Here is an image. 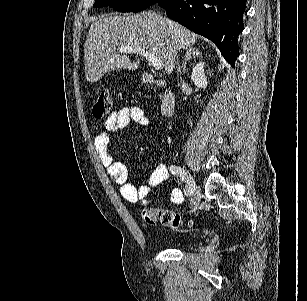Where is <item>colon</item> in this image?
Segmentation results:
<instances>
[{"label": "colon", "instance_id": "1", "mask_svg": "<svg viewBox=\"0 0 307 301\" xmlns=\"http://www.w3.org/2000/svg\"><path fill=\"white\" fill-rule=\"evenodd\" d=\"M111 110V96L107 90L102 91L93 107V115L104 118ZM143 219L147 224L160 223L163 226L178 228L182 224L181 216L171 210H164L154 207L145 208L142 212Z\"/></svg>", "mask_w": 307, "mask_h": 301}]
</instances>
